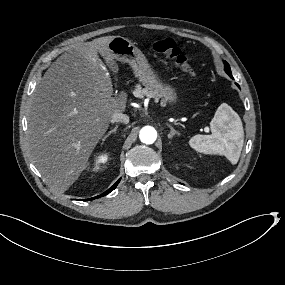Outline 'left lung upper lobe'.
<instances>
[{
	"instance_id": "5c2ea615",
	"label": "left lung upper lobe",
	"mask_w": 285,
	"mask_h": 285,
	"mask_svg": "<svg viewBox=\"0 0 285 285\" xmlns=\"http://www.w3.org/2000/svg\"><path fill=\"white\" fill-rule=\"evenodd\" d=\"M224 64H225V71H226V73H227L230 77H232L229 64H228L227 62H225V61H224Z\"/></svg>"
}]
</instances>
